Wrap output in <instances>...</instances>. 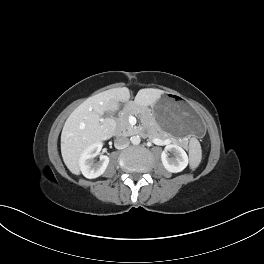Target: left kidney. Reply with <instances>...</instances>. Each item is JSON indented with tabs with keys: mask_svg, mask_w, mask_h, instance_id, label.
<instances>
[{
	"mask_svg": "<svg viewBox=\"0 0 264 264\" xmlns=\"http://www.w3.org/2000/svg\"><path fill=\"white\" fill-rule=\"evenodd\" d=\"M168 151L174 154V158L168 156ZM162 164L165 169L172 173L183 171L188 165V156L183 148L176 144H168L161 154Z\"/></svg>",
	"mask_w": 264,
	"mask_h": 264,
	"instance_id": "obj_1",
	"label": "left kidney"
}]
</instances>
